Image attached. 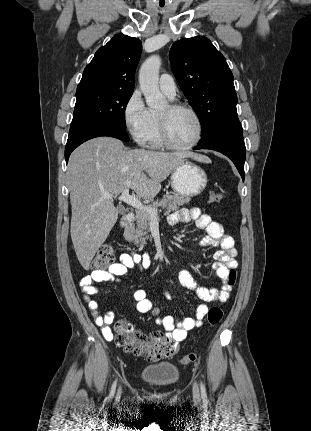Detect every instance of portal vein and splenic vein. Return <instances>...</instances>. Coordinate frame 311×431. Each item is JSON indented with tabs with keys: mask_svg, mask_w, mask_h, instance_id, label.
Instances as JSON below:
<instances>
[{
	"mask_svg": "<svg viewBox=\"0 0 311 431\" xmlns=\"http://www.w3.org/2000/svg\"><path fill=\"white\" fill-rule=\"evenodd\" d=\"M129 192V188L128 190H123L121 196H118L117 200H119V202H125V204L132 206V208H135V210H143V212H147V214H150V217H158V210L144 206L141 200H138L136 196H130ZM103 198H106V200H113V198H116V196H103Z\"/></svg>",
	"mask_w": 311,
	"mask_h": 431,
	"instance_id": "18ae733b",
	"label": "portal vein and splenic vein"
}]
</instances>
